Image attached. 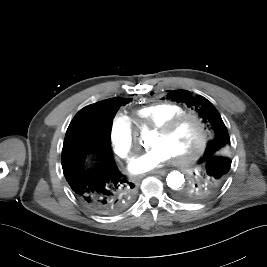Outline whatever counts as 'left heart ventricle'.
Returning <instances> with one entry per match:
<instances>
[{
	"label": "left heart ventricle",
	"instance_id": "left-heart-ventricle-1",
	"mask_svg": "<svg viewBox=\"0 0 267 267\" xmlns=\"http://www.w3.org/2000/svg\"><path fill=\"white\" fill-rule=\"evenodd\" d=\"M199 139L197 124L191 120L183 121L177 128L161 135L157 133L151 146L161 145L169 151L171 156H185L193 151Z\"/></svg>",
	"mask_w": 267,
	"mask_h": 267
}]
</instances>
